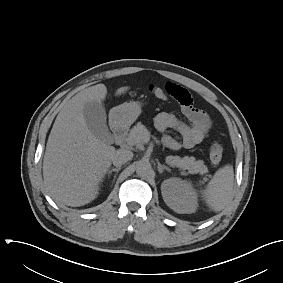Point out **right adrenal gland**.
I'll use <instances>...</instances> for the list:
<instances>
[{
    "mask_svg": "<svg viewBox=\"0 0 283 283\" xmlns=\"http://www.w3.org/2000/svg\"><path fill=\"white\" fill-rule=\"evenodd\" d=\"M121 170V167H117V168H112L110 170H108L107 174H108V178L110 177V175L112 174V172H116V174ZM116 179V175L114 176V182Z\"/></svg>",
    "mask_w": 283,
    "mask_h": 283,
    "instance_id": "1",
    "label": "right adrenal gland"
}]
</instances>
